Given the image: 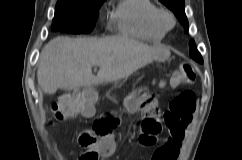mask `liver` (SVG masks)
<instances>
[{
	"instance_id": "1",
	"label": "liver",
	"mask_w": 242,
	"mask_h": 160,
	"mask_svg": "<svg viewBox=\"0 0 242 160\" xmlns=\"http://www.w3.org/2000/svg\"><path fill=\"white\" fill-rule=\"evenodd\" d=\"M165 47H150L125 37H56L43 48L37 71L44 93L73 90L128 77L141 67L170 57ZM98 66L97 75L92 67Z\"/></svg>"
}]
</instances>
